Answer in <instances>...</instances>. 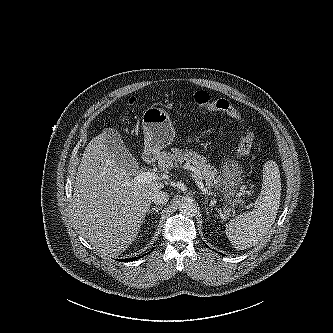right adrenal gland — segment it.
I'll use <instances>...</instances> for the list:
<instances>
[{"mask_svg":"<svg viewBox=\"0 0 333 333\" xmlns=\"http://www.w3.org/2000/svg\"><path fill=\"white\" fill-rule=\"evenodd\" d=\"M161 209H162V207H153V208L148 209L147 213L149 214V213L155 212V213L159 214V211Z\"/></svg>","mask_w":333,"mask_h":333,"instance_id":"right-adrenal-gland-1","label":"right adrenal gland"}]
</instances>
